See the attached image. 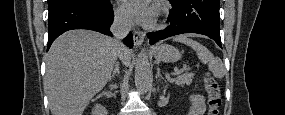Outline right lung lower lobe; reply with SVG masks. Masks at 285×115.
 Wrapping results in <instances>:
<instances>
[{
    "label": "right lung lower lobe",
    "mask_w": 285,
    "mask_h": 115,
    "mask_svg": "<svg viewBox=\"0 0 285 115\" xmlns=\"http://www.w3.org/2000/svg\"><path fill=\"white\" fill-rule=\"evenodd\" d=\"M48 46L62 33L72 29H89L110 35L113 9L110 1L106 5H90L79 1H68L49 8ZM124 43L133 47V36L129 33Z\"/></svg>",
    "instance_id": "obj_1"
}]
</instances>
